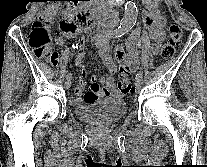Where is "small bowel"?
I'll return each instance as SVG.
<instances>
[{
  "label": "small bowel",
  "instance_id": "1",
  "mask_svg": "<svg viewBox=\"0 0 207 167\" xmlns=\"http://www.w3.org/2000/svg\"><path fill=\"white\" fill-rule=\"evenodd\" d=\"M80 16L77 18L78 21L80 20ZM144 21L147 30L134 29L131 32L126 41L127 53L124 52L121 46H117L115 48V57L121 63V68L127 73L135 71L138 68L140 48L144 45L147 35L153 42L149 48L151 54L158 53L165 37L164 26L166 20L154 7H152V4H150L148 10L144 13ZM76 30L77 29L73 32L59 36L56 39V42L58 44H63L64 38L70 37ZM105 34V31H102L97 35L96 45L103 64L111 73H114L116 71V64L111 55L109 43L107 41L100 40V38ZM76 64L80 68L81 77H85L87 75V67L83 55L78 56ZM114 82L115 81L112 76L102 77L100 79L102 86L100 87L96 79L93 77L87 92L84 93L85 83L83 80H80L74 89L75 97L70 99V103L72 105H79L83 102L96 101L107 96H118L119 90L115 87Z\"/></svg>",
  "mask_w": 207,
  "mask_h": 167
}]
</instances>
